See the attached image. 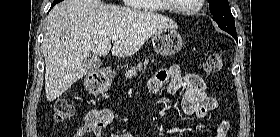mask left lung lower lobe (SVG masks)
<instances>
[{
  "mask_svg": "<svg viewBox=\"0 0 280 137\" xmlns=\"http://www.w3.org/2000/svg\"><path fill=\"white\" fill-rule=\"evenodd\" d=\"M236 40H237V37L236 36H233Z\"/></svg>",
  "mask_w": 280,
  "mask_h": 137,
  "instance_id": "0a47b994",
  "label": "left lung lower lobe"
}]
</instances>
